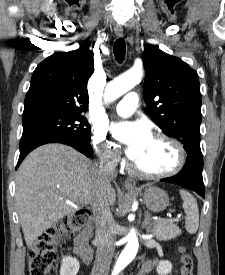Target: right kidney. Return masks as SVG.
<instances>
[{"mask_svg": "<svg viewBox=\"0 0 225 275\" xmlns=\"http://www.w3.org/2000/svg\"><path fill=\"white\" fill-rule=\"evenodd\" d=\"M79 261L71 256L63 257L60 275H76L79 271Z\"/></svg>", "mask_w": 225, "mask_h": 275, "instance_id": "ca27d5eb", "label": "right kidney"}]
</instances>
